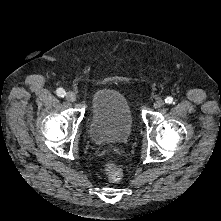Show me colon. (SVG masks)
I'll use <instances>...</instances> for the list:
<instances>
[{
  "mask_svg": "<svg viewBox=\"0 0 221 221\" xmlns=\"http://www.w3.org/2000/svg\"><path fill=\"white\" fill-rule=\"evenodd\" d=\"M105 172L109 180L112 182H118L123 177L122 168L114 162H110L106 165Z\"/></svg>",
  "mask_w": 221,
  "mask_h": 221,
  "instance_id": "1",
  "label": "colon"
}]
</instances>
